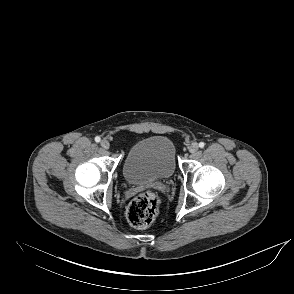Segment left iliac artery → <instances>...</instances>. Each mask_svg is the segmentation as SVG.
Returning a JSON list of instances; mask_svg holds the SVG:
<instances>
[{
	"label": "left iliac artery",
	"mask_w": 294,
	"mask_h": 294,
	"mask_svg": "<svg viewBox=\"0 0 294 294\" xmlns=\"http://www.w3.org/2000/svg\"><path fill=\"white\" fill-rule=\"evenodd\" d=\"M204 146H205V143H204V142H200V143H199V147H200V148H203Z\"/></svg>",
	"instance_id": "44dca946"
}]
</instances>
